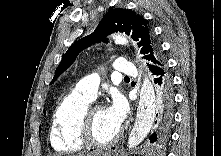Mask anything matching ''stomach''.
Returning a JSON list of instances; mask_svg holds the SVG:
<instances>
[{
  "mask_svg": "<svg viewBox=\"0 0 221 156\" xmlns=\"http://www.w3.org/2000/svg\"><path fill=\"white\" fill-rule=\"evenodd\" d=\"M105 156H111V154H105Z\"/></svg>",
  "mask_w": 221,
  "mask_h": 156,
  "instance_id": "1",
  "label": "stomach"
}]
</instances>
